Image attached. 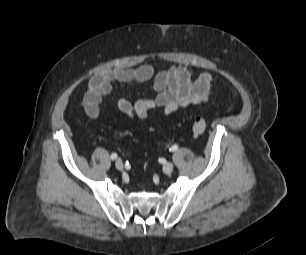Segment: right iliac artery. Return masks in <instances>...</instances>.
<instances>
[{
  "label": "right iliac artery",
  "mask_w": 306,
  "mask_h": 255,
  "mask_svg": "<svg viewBox=\"0 0 306 255\" xmlns=\"http://www.w3.org/2000/svg\"><path fill=\"white\" fill-rule=\"evenodd\" d=\"M116 158H117V154H116V153H112V154H111V159L114 160V159H116Z\"/></svg>",
  "instance_id": "obj_1"
}]
</instances>
